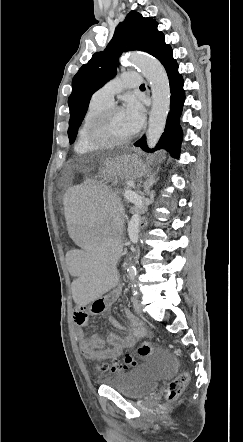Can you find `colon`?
Returning a JSON list of instances; mask_svg holds the SVG:
<instances>
[{
  "label": "colon",
  "instance_id": "5ec220e1",
  "mask_svg": "<svg viewBox=\"0 0 243 442\" xmlns=\"http://www.w3.org/2000/svg\"><path fill=\"white\" fill-rule=\"evenodd\" d=\"M138 227L143 231H146L148 224L142 221L138 224ZM154 347L149 342H144L139 348L136 354L128 353L122 359L121 357H108L107 364H101L98 370L103 373H118L123 370L133 367L137 364V359H145L152 355ZM190 377L188 373H180L174 380L170 382L167 388V398L170 400L176 399L188 385Z\"/></svg>",
  "mask_w": 243,
  "mask_h": 442
}]
</instances>
